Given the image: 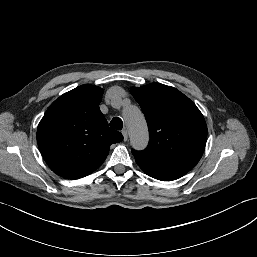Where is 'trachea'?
<instances>
[{
	"instance_id": "1",
	"label": "trachea",
	"mask_w": 257,
	"mask_h": 257,
	"mask_svg": "<svg viewBox=\"0 0 257 257\" xmlns=\"http://www.w3.org/2000/svg\"><path fill=\"white\" fill-rule=\"evenodd\" d=\"M110 127L116 130H121L123 128V122L119 117H115L111 120Z\"/></svg>"
}]
</instances>
